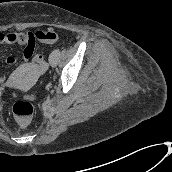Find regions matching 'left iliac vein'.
I'll list each match as a JSON object with an SVG mask.
<instances>
[{
	"label": "left iliac vein",
	"mask_w": 172,
	"mask_h": 172,
	"mask_svg": "<svg viewBox=\"0 0 172 172\" xmlns=\"http://www.w3.org/2000/svg\"><path fill=\"white\" fill-rule=\"evenodd\" d=\"M58 54L56 52H52L49 56V64L52 67H55L57 64Z\"/></svg>",
	"instance_id": "1"
}]
</instances>
